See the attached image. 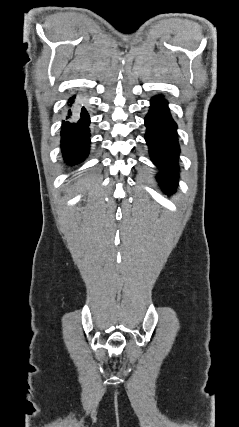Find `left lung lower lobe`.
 Instances as JSON below:
<instances>
[{
  "label": "left lung lower lobe",
  "instance_id": "1",
  "mask_svg": "<svg viewBox=\"0 0 239 427\" xmlns=\"http://www.w3.org/2000/svg\"><path fill=\"white\" fill-rule=\"evenodd\" d=\"M146 142L154 164L161 170L157 181L162 187L174 191L177 183L178 155L180 153L176 128L166 100L156 96L151 100L145 118Z\"/></svg>",
  "mask_w": 239,
  "mask_h": 427
}]
</instances>
